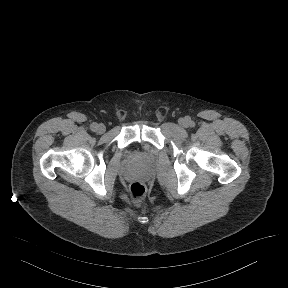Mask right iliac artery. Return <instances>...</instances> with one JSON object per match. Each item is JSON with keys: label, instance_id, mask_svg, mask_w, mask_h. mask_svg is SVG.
Returning a JSON list of instances; mask_svg holds the SVG:
<instances>
[{"label": "right iliac artery", "instance_id": "82829eb1", "mask_svg": "<svg viewBox=\"0 0 288 288\" xmlns=\"http://www.w3.org/2000/svg\"><path fill=\"white\" fill-rule=\"evenodd\" d=\"M91 129H92L93 131H95V130L97 129V123H92V124H91Z\"/></svg>", "mask_w": 288, "mask_h": 288}]
</instances>
